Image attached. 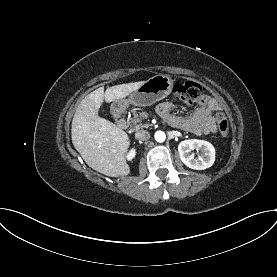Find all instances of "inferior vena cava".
Listing matches in <instances>:
<instances>
[{
    "instance_id": "inferior-vena-cava-1",
    "label": "inferior vena cava",
    "mask_w": 277,
    "mask_h": 277,
    "mask_svg": "<svg viewBox=\"0 0 277 277\" xmlns=\"http://www.w3.org/2000/svg\"><path fill=\"white\" fill-rule=\"evenodd\" d=\"M135 137L140 141H146L150 138V133L146 130H140L135 133Z\"/></svg>"
}]
</instances>
